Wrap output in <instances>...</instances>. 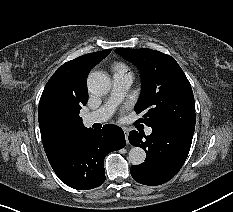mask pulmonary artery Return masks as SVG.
<instances>
[{
    "instance_id": "e3ab8cb5",
    "label": "pulmonary artery",
    "mask_w": 233,
    "mask_h": 212,
    "mask_svg": "<svg viewBox=\"0 0 233 212\" xmlns=\"http://www.w3.org/2000/svg\"><path fill=\"white\" fill-rule=\"evenodd\" d=\"M133 81V76L129 72H116L113 75L112 92L107 102L92 112H89L83 116V122L86 125H92L94 123H102L107 121L112 114L116 106L124 99ZM145 133L150 135L152 129L149 127Z\"/></svg>"
}]
</instances>
